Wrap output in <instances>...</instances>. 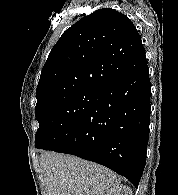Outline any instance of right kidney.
I'll list each match as a JSON object with an SVG mask.
<instances>
[{
  "instance_id": "ca27d5eb",
  "label": "right kidney",
  "mask_w": 178,
  "mask_h": 195,
  "mask_svg": "<svg viewBox=\"0 0 178 195\" xmlns=\"http://www.w3.org/2000/svg\"><path fill=\"white\" fill-rule=\"evenodd\" d=\"M105 195H132V191L128 186L118 184L107 190Z\"/></svg>"
}]
</instances>
